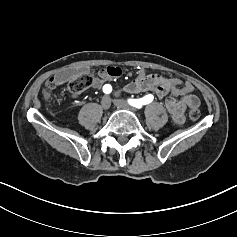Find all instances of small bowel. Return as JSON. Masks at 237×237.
Returning a JSON list of instances; mask_svg holds the SVG:
<instances>
[{"label":"small bowel","mask_w":237,"mask_h":237,"mask_svg":"<svg viewBox=\"0 0 237 237\" xmlns=\"http://www.w3.org/2000/svg\"><path fill=\"white\" fill-rule=\"evenodd\" d=\"M86 70L84 67L64 69L55 76V85L61 86L79 71ZM121 75L122 69L117 66L104 67L93 78L91 88L98 89L104 87L106 83L119 78ZM125 90L130 93L150 91L157 98H164L167 111L178 125L185 122V111L188 108L194 109L199 106V99L192 94L194 86L191 82L177 78H166L159 74H146L144 70H141L138 76L125 86ZM71 93L73 97L79 95V93Z\"/></svg>","instance_id":"c3829d8e"}]
</instances>
